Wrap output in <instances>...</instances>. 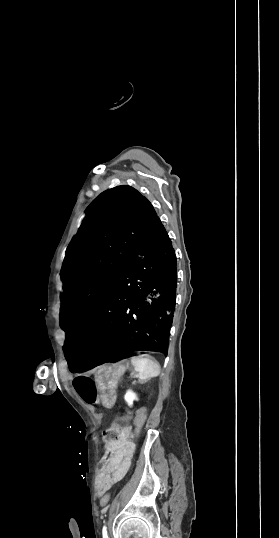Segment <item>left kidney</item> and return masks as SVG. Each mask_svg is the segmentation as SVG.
<instances>
[{
  "mask_svg": "<svg viewBox=\"0 0 279 538\" xmlns=\"http://www.w3.org/2000/svg\"><path fill=\"white\" fill-rule=\"evenodd\" d=\"M125 402H127L128 406H132L134 400H138L136 394L132 392V390H127L125 396H124Z\"/></svg>",
  "mask_w": 279,
  "mask_h": 538,
  "instance_id": "1",
  "label": "left kidney"
}]
</instances>
